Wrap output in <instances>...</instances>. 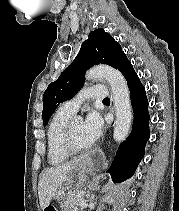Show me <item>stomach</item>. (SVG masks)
Masks as SVG:
<instances>
[{
	"label": "stomach",
	"instance_id": "stomach-1",
	"mask_svg": "<svg viewBox=\"0 0 179 211\" xmlns=\"http://www.w3.org/2000/svg\"><path fill=\"white\" fill-rule=\"evenodd\" d=\"M92 169L90 159L84 160V162L77 166L69 175L68 179L56 195L57 198H64L69 192L77 191L81 189L87 180V174Z\"/></svg>",
	"mask_w": 179,
	"mask_h": 211
}]
</instances>
